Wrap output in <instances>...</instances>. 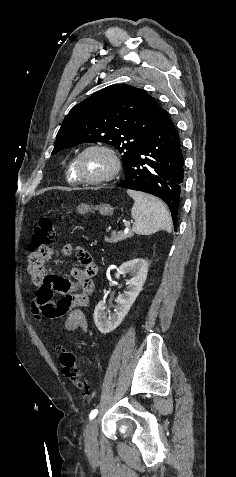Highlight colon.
Wrapping results in <instances>:
<instances>
[{
  "mask_svg": "<svg viewBox=\"0 0 236 477\" xmlns=\"http://www.w3.org/2000/svg\"><path fill=\"white\" fill-rule=\"evenodd\" d=\"M57 234V225L49 218H42L34 227L32 238L27 248V262L34 282L42 277L43 262L52 251L49 245ZM59 361L65 377L77 388L82 396H89V387L83 378L79 357L70 349H63Z\"/></svg>",
  "mask_w": 236,
  "mask_h": 477,
  "instance_id": "1",
  "label": "colon"
}]
</instances>
